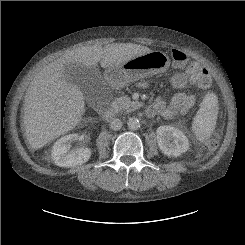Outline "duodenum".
<instances>
[{"label":"duodenum","mask_w":245,"mask_h":245,"mask_svg":"<svg viewBox=\"0 0 245 245\" xmlns=\"http://www.w3.org/2000/svg\"><path fill=\"white\" fill-rule=\"evenodd\" d=\"M117 83H118V82H117L116 80H110V85H111L112 87L117 86ZM102 116H103V118L106 119V120H111L112 118H114L115 112H114V110H112V109H107V110H105V111L103 112Z\"/></svg>","instance_id":"410a0bca"}]
</instances>
